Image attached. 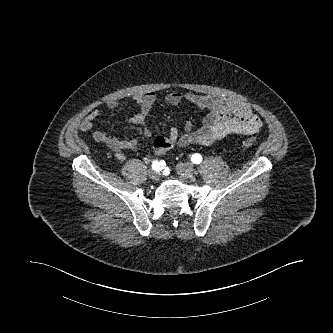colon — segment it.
Segmentation results:
<instances>
[{"instance_id":"obj_1","label":"colon","mask_w":333,"mask_h":333,"mask_svg":"<svg viewBox=\"0 0 333 333\" xmlns=\"http://www.w3.org/2000/svg\"><path fill=\"white\" fill-rule=\"evenodd\" d=\"M254 144V141L251 140V139H246L242 142V147L245 148V149H249L253 146Z\"/></svg>"}]
</instances>
